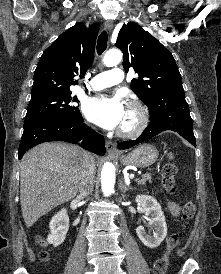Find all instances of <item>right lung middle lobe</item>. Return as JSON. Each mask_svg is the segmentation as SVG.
<instances>
[{"mask_svg":"<svg viewBox=\"0 0 221 274\" xmlns=\"http://www.w3.org/2000/svg\"><path fill=\"white\" fill-rule=\"evenodd\" d=\"M73 102L79 103L76 98H71V93L31 99L24 123L53 116H63L73 120L82 118L79 108L74 106Z\"/></svg>","mask_w":221,"mask_h":274,"instance_id":"dd1d6c3e","label":"right lung middle lobe"}]
</instances>
